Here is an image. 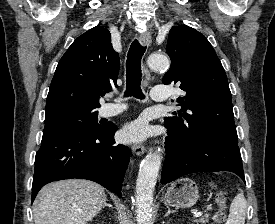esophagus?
<instances>
[{"mask_svg":"<svg viewBox=\"0 0 275 224\" xmlns=\"http://www.w3.org/2000/svg\"><path fill=\"white\" fill-rule=\"evenodd\" d=\"M139 42L141 43V45L149 47L152 43L151 34L147 31L142 32L139 35ZM132 152L136 156H141L145 152V146L142 143H136L132 146Z\"/></svg>","mask_w":275,"mask_h":224,"instance_id":"esophagus-1","label":"esophagus"}]
</instances>
